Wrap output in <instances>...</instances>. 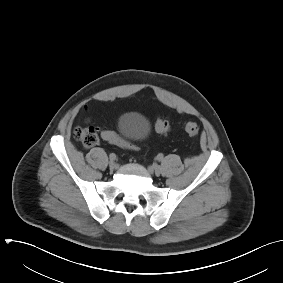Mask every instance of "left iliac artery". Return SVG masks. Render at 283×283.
<instances>
[{"label": "left iliac artery", "instance_id": "left-iliac-artery-1", "mask_svg": "<svg viewBox=\"0 0 283 283\" xmlns=\"http://www.w3.org/2000/svg\"><path fill=\"white\" fill-rule=\"evenodd\" d=\"M162 159H163V155H162V154H159V155L157 156V160H158V161H162Z\"/></svg>", "mask_w": 283, "mask_h": 283}]
</instances>
